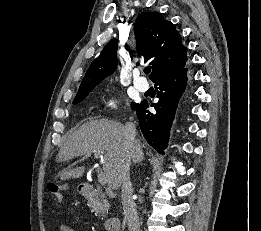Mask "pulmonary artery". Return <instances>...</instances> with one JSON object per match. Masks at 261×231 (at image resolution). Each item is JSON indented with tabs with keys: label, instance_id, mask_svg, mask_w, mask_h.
<instances>
[{
	"label": "pulmonary artery",
	"instance_id": "pulmonary-artery-1",
	"mask_svg": "<svg viewBox=\"0 0 261 231\" xmlns=\"http://www.w3.org/2000/svg\"><path fill=\"white\" fill-rule=\"evenodd\" d=\"M134 85L139 91H146L148 89L147 81L142 77H136L134 79Z\"/></svg>",
	"mask_w": 261,
	"mask_h": 231
}]
</instances>
